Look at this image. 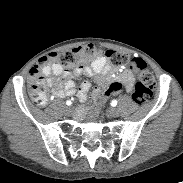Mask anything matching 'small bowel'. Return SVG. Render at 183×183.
<instances>
[{
    "instance_id": "obj_1",
    "label": "small bowel",
    "mask_w": 183,
    "mask_h": 183,
    "mask_svg": "<svg viewBox=\"0 0 183 183\" xmlns=\"http://www.w3.org/2000/svg\"><path fill=\"white\" fill-rule=\"evenodd\" d=\"M43 73L46 76H53L48 79V85L53 89V93L57 97L73 95L76 92V86L72 79L81 74L95 76L96 83L98 84V87L94 90L95 97H99L102 89L105 87L108 89L111 82L122 81L125 84L124 91L126 92H130L135 84L132 71L126 70L120 74L114 73L107 63L103 51L99 48H96V57L88 66L77 67L74 70H66L57 64H51L43 69ZM60 75L67 77L68 80L61 83L55 78ZM90 87L91 85L88 81L81 83L77 91V96L81 102L86 100Z\"/></svg>"
}]
</instances>
